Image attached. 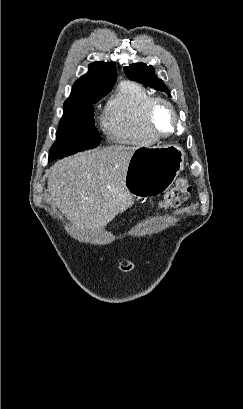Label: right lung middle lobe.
<instances>
[{
    "label": "right lung middle lobe",
    "instance_id": "obj_1",
    "mask_svg": "<svg viewBox=\"0 0 243 409\" xmlns=\"http://www.w3.org/2000/svg\"><path fill=\"white\" fill-rule=\"evenodd\" d=\"M93 117L94 108L92 105L87 107H64L63 116L56 133L57 141L50 149L49 159L63 158L97 147L100 144V138Z\"/></svg>",
    "mask_w": 243,
    "mask_h": 409
}]
</instances>
